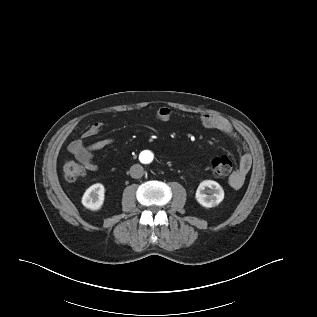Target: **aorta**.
I'll use <instances>...</instances> for the list:
<instances>
[{
    "label": "aorta",
    "instance_id": "obj_1",
    "mask_svg": "<svg viewBox=\"0 0 317 317\" xmlns=\"http://www.w3.org/2000/svg\"><path fill=\"white\" fill-rule=\"evenodd\" d=\"M140 160L146 166H151L154 162V156L151 152H144L141 154Z\"/></svg>",
    "mask_w": 317,
    "mask_h": 317
}]
</instances>
